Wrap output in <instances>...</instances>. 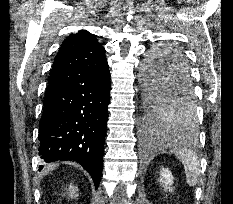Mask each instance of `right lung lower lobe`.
Here are the masks:
<instances>
[{
	"instance_id": "1",
	"label": "right lung lower lobe",
	"mask_w": 233,
	"mask_h": 204,
	"mask_svg": "<svg viewBox=\"0 0 233 204\" xmlns=\"http://www.w3.org/2000/svg\"><path fill=\"white\" fill-rule=\"evenodd\" d=\"M110 87L105 64L79 71L65 83L47 90L41 118L44 124L39 130L41 158L48 163L78 162L90 173L96 189L102 175Z\"/></svg>"
}]
</instances>
